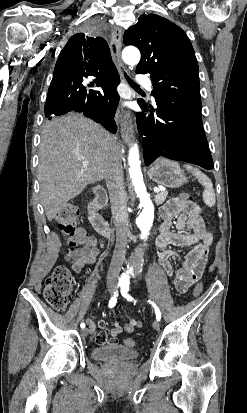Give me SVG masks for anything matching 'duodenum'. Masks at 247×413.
<instances>
[{"instance_id": "obj_1", "label": "duodenum", "mask_w": 247, "mask_h": 413, "mask_svg": "<svg viewBox=\"0 0 247 413\" xmlns=\"http://www.w3.org/2000/svg\"><path fill=\"white\" fill-rule=\"evenodd\" d=\"M106 203V191L101 187L96 188L94 198L89 204V221L98 233L109 238L111 237L110 225L98 214V211L102 209Z\"/></svg>"}]
</instances>
